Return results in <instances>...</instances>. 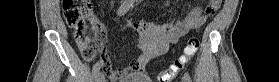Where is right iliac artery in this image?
Listing matches in <instances>:
<instances>
[{
  "instance_id": "82829eb1",
  "label": "right iliac artery",
  "mask_w": 279,
  "mask_h": 82,
  "mask_svg": "<svg viewBox=\"0 0 279 82\" xmlns=\"http://www.w3.org/2000/svg\"><path fill=\"white\" fill-rule=\"evenodd\" d=\"M133 3H134V0H125V1L122 3V5L120 6V8L118 9L117 14H118L119 16L124 15V14L129 10V8L133 5ZM100 68H101L100 62H97V63L93 66L92 75H93L94 78H96L97 75L99 74Z\"/></svg>"
}]
</instances>
